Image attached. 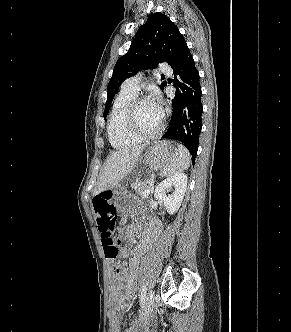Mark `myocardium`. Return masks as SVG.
Wrapping results in <instances>:
<instances>
[{"label": "myocardium", "mask_w": 291, "mask_h": 332, "mask_svg": "<svg viewBox=\"0 0 291 332\" xmlns=\"http://www.w3.org/2000/svg\"><path fill=\"white\" fill-rule=\"evenodd\" d=\"M151 100L149 97L147 96H136L130 103L128 110H127V114H126V128L127 131L134 136L135 138L139 139V140H148V139H153L157 136H159L165 126H166V121H165V113L164 110L162 108H160V112H161V123L159 125V127L150 133H145L142 132L138 126H137V110L138 107L140 106L141 103L145 102V101H149Z\"/></svg>", "instance_id": "1"}]
</instances>
